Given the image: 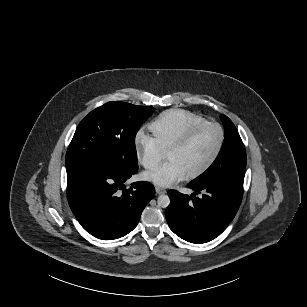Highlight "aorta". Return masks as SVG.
<instances>
[{"instance_id": "762f6f07", "label": "aorta", "mask_w": 307, "mask_h": 307, "mask_svg": "<svg viewBox=\"0 0 307 307\" xmlns=\"http://www.w3.org/2000/svg\"><path fill=\"white\" fill-rule=\"evenodd\" d=\"M157 203L160 207L166 208L170 204V198L167 195H160L157 199Z\"/></svg>"}]
</instances>
